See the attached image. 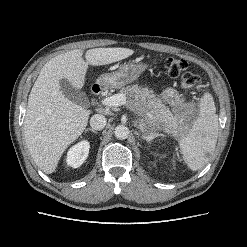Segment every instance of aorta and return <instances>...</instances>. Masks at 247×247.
I'll return each instance as SVG.
<instances>
[{
	"label": "aorta",
	"instance_id": "aorta-1",
	"mask_svg": "<svg viewBox=\"0 0 247 247\" xmlns=\"http://www.w3.org/2000/svg\"><path fill=\"white\" fill-rule=\"evenodd\" d=\"M115 137L120 140H124L129 136V129L125 125H118L114 131Z\"/></svg>",
	"mask_w": 247,
	"mask_h": 247
}]
</instances>
